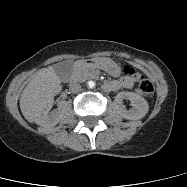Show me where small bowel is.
I'll return each mask as SVG.
<instances>
[{"mask_svg":"<svg viewBox=\"0 0 187 187\" xmlns=\"http://www.w3.org/2000/svg\"><path fill=\"white\" fill-rule=\"evenodd\" d=\"M134 85V81L130 77H122L117 81H109L106 83L105 89L108 91H113L117 89H130Z\"/></svg>","mask_w":187,"mask_h":187,"instance_id":"obj_1","label":"small bowel"}]
</instances>
